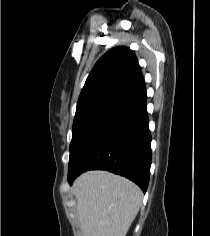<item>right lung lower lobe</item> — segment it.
Listing matches in <instances>:
<instances>
[{
    "label": "right lung lower lobe",
    "instance_id": "1",
    "mask_svg": "<svg viewBox=\"0 0 210 236\" xmlns=\"http://www.w3.org/2000/svg\"><path fill=\"white\" fill-rule=\"evenodd\" d=\"M146 99L143 84L90 131L69 161L70 184L86 170L103 169L129 178L146 192L152 162Z\"/></svg>",
    "mask_w": 210,
    "mask_h": 236
}]
</instances>
